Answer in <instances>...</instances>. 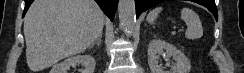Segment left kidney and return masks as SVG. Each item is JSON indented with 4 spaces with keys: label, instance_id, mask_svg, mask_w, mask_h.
I'll return each mask as SVG.
<instances>
[{
    "label": "left kidney",
    "instance_id": "obj_1",
    "mask_svg": "<svg viewBox=\"0 0 244 73\" xmlns=\"http://www.w3.org/2000/svg\"><path fill=\"white\" fill-rule=\"evenodd\" d=\"M165 53L175 61L170 70L165 71L158 64L159 55ZM148 64L152 73H190L191 63L185 54L174 45L161 39H153L148 45Z\"/></svg>",
    "mask_w": 244,
    "mask_h": 73
}]
</instances>
